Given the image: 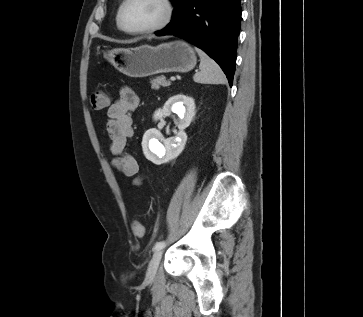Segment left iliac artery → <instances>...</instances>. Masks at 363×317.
Returning a JSON list of instances; mask_svg holds the SVG:
<instances>
[{
  "label": "left iliac artery",
  "instance_id": "44dca946",
  "mask_svg": "<svg viewBox=\"0 0 363 317\" xmlns=\"http://www.w3.org/2000/svg\"><path fill=\"white\" fill-rule=\"evenodd\" d=\"M164 246H165V242L164 241L157 242L155 244V246H154V250L162 249Z\"/></svg>",
  "mask_w": 363,
  "mask_h": 317
}]
</instances>
